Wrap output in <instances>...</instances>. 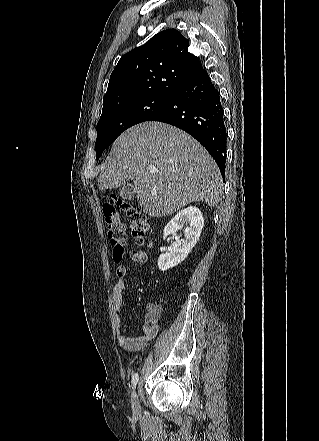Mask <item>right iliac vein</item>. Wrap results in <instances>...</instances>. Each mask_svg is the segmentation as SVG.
Returning <instances> with one entry per match:
<instances>
[{
	"instance_id": "obj_1",
	"label": "right iliac vein",
	"mask_w": 319,
	"mask_h": 441,
	"mask_svg": "<svg viewBox=\"0 0 319 441\" xmlns=\"http://www.w3.org/2000/svg\"><path fill=\"white\" fill-rule=\"evenodd\" d=\"M131 405H132L133 413L136 416L140 415V413H141L140 401H139L138 395L135 391L132 394Z\"/></svg>"
}]
</instances>
